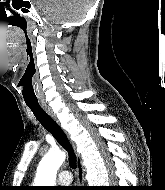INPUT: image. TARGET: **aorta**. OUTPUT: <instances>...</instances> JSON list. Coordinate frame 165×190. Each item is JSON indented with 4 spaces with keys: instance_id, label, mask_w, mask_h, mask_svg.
<instances>
[{
    "instance_id": "762f6f07",
    "label": "aorta",
    "mask_w": 165,
    "mask_h": 190,
    "mask_svg": "<svg viewBox=\"0 0 165 190\" xmlns=\"http://www.w3.org/2000/svg\"><path fill=\"white\" fill-rule=\"evenodd\" d=\"M66 155L59 149H51L42 158L36 175L38 186H54L59 167L65 161Z\"/></svg>"
}]
</instances>
